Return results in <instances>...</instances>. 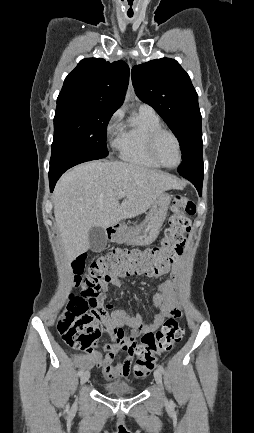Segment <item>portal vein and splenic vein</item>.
I'll list each match as a JSON object with an SVG mask.
<instances>
[{
	"instance_id": "obj_1",
	"label": "portal vein and splenic vein",
	"mask_w": 254,
	"mask_h": 433,
	"mask_svg": "<svg viewBox=\"0 0 254 433\" xmlns=\"http://www.w3.org/2000/svg\"><path fill=\"white\" fill-rule=\"evenodd\" d=\"M124 196H125L124 192H120V193H119V198H122V197H124Z\"/></svg>"
}]
</instances>
